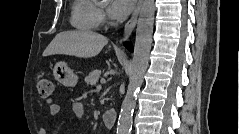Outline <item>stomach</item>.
Wrapping results in <instances>:
<instances>
[{
  "label": "stomach",
  "instance_id": "obj_1",
  "mask_svg": "<svg viewBox=\"0 0 239 134\" xmlns=\"http://www.w3.org/2000/svg\"><path fill=\"white\" fill-rule=\"evenodd\" d=\"M53 74L56 80L66 86L77 84L78 76L71 70L65 62H58L53 68Z\"/></svg>",
  "mask_w": 239,
  "mask_h": 134
}]
</instances>
